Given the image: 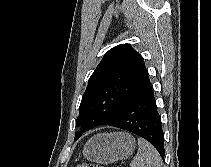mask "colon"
Returning a JSON list of instances; mask_svg holds the SVG:
<instances>
[{
    "label": "colon",
    "mask_w": 211,
    "mask_h": 167,
    "mask_svg": "<svg viewBox=\"0 0 211 167\" xmlns=\"http://www.w3.org/2000/svg\"><path fill=\"white\" fill-rule=\"evenodd\" d=\"M77 167H98V166L90 162H83L79 164Z\"/></svg>",
    "instance_id": "5ec220e1"
}]
</instances>
